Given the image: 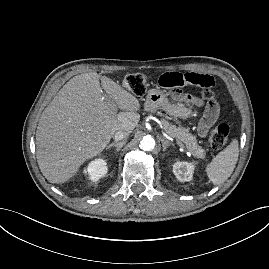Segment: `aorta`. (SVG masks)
Instances as JSON below:
<instances>
[{"instance_id":"obj_1","label":"aorta","mask_w":269,"mask_h":269,"mask_svg":"<svg viewBox=\"0 0 269 269\" xmlns=\"http://www.w3.org/2000/svg\"><path fill=\"white\" fill-rule=\"evenodd\" d=\"M139 147L144 151H151L155 147V140L153 137L147 135L142 138L140 141Z\"/></svg>"}]
</instances>
